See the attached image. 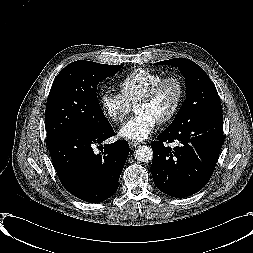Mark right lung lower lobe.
Here are the masks:
<instances>
[{"instance_id":"obj_1","label":"right lung lower lobe","mask_w":253,"mask_h":253,"mask_svg":"<svg viewBox=\"0 0 253 253\" xmlns=\"http://www.w3.org/2000/svg\"><path fill=\"white\" fill-rule=\"evenodd\" d=\"M114 134L110 123L100 128H79L49 148L62 185L75 197L98 203L118 189V180L126 162L129 145L125 140L93 150Z\"/></svg>"}]
</instances>
